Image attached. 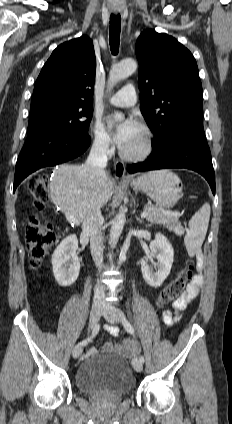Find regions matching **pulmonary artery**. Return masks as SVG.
Returning <instances> with one entry per match:
<instances>
[{"mask_svg": "<svg viewBox=\"0 0 232 424\" xmlns=\"http://www.w3.org/2000/svg\"><path fill=\"white\" fill-rule=\"evenodd\" d=\"M137 101V92L132 84L124 86L115 95H113L109 102L118 107H130Z\"/></svg>", "mask_w": 232, "mask_h": 424, "instance_id": "1", "label": "pulmonary artery"}]
</instances>
